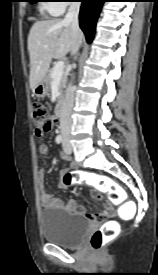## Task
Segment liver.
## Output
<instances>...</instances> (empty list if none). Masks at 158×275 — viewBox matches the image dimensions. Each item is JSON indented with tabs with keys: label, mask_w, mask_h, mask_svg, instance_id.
Instances as JSON below:
<instances>
[{
	"label": "liver",
	"mask_w": 158,
	"mask_h": 275,
	"mask_svg": "<svg viewBox=\"0 0 158 275\" xmlns=\"http://www.w3.org/2000/svg\"><path fill=\"white\" fill-rule=\"evenodd\" d=\"M78 37L82 39L81 31ZM71 48L72 31L63 20L50 19L33 24L28 35L29 82L32 91L46 77L52 59H63Z\"/></svg>",
	"instance_id": "1"
}]
</instances>
